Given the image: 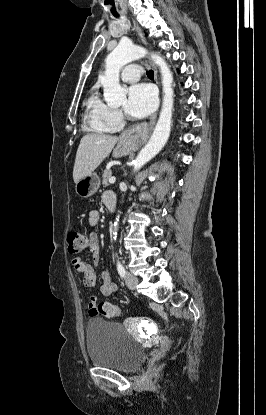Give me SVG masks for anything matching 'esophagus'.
Wrapping results in <instances>:
<instances>
[{
	"instance_id": "esophagus-1",
	"label": "esophagus",
	"mask_w": 266,
	"mask_h": 415,
	"mask_svg": "<svg viewBox=\"0 0 266 415\" xmlns=\"http://www.w3.org/2000/svg\"><path fill=\"white\" fill-rule=\"evenodd\" d=\"M133 25H134V28L136 29V31L139 35V38H140L141 42L144 45H146V40H145L143 32L141 31V29L139 28V26L135 22H133ZM148 63L150 64V66H152V68L154 70V75H155L156 82L158 83L157 68L150 59H148ZM156 118H157V111L150 117L149 130H151L153 128V126L155 124V121H156ZM142 128H143L142 125L133 126V127L129 128L128 130H126L123 133L122 138L125 139V140H128L132 143H138V142H140V140L142 138L147 136V132H144L143 134L141 133Z\"/></svg>"
}]
</instances>
